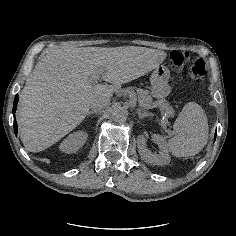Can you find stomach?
I'll return each instance as SVG.
<instances>
[{
  "instance_id": "1",
  "label": "stomach",
  "mask_w": 236,
  "mask_h": 236,
  "mask_svg": "<svg viewBox=\"0 0 236 236\" xmlns=\"http://www.w3.org/2000/svg\"><path fill=\"white\" fill-rule=\"evenodd\" d=\"M169 78L170 71L164 66H160L153 71L150 77L151 94L153 97L163 98L170 93Z\"/></svg>"
}]
</instances>
